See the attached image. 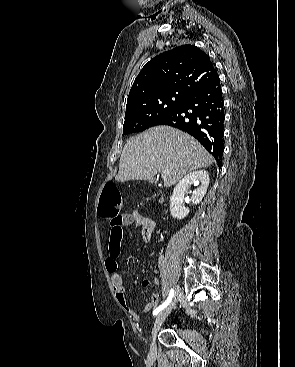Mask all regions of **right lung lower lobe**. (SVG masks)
<instances>
[{
  "mask_svg": "<svg viewBox=\"0 0 295 367\" xmlns=\"http://www.w3.org/2000/svg\"><path fill=\"white\" fill-rule=\"evenodd\" d=\"M220 80L190 94L171 114L153 126L169 125L196 138L217 160L219 169L223 156L224 110Z\"/></svg>",
  "mask_w": 295,
  "mask_h": 367,
  "instance_id": "98d812e1",
  "label": "right lung lower lobe"
}]
</instances>
